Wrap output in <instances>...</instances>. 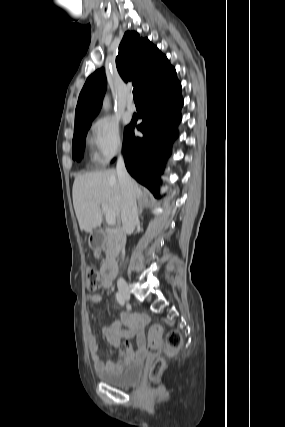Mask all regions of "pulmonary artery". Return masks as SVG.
Returning a JSON list of instances; mask_svg holds the SVG:
<instances>
[{"mask_svg": "<svg viewBox=\"0 0 285 427\" xmlns=\"http://www.w3.org/2000/svg\"><path fill=\"white\" fill-rule=\"evenodd\" d=\"M127 109L130 112H134L136 110V104L133 100V97L131 95L128 96V100H127Z\"/></svg>", "mask_w": 285, "mask_h": 427, "instance_id": "1", "label": "pulmonary artery"}]
</instances>
